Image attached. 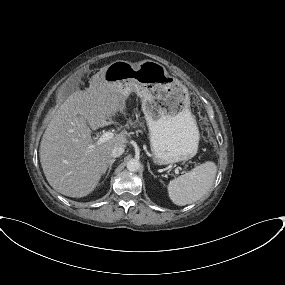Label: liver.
Here are the masks:
<instances>
[{"mask_svg":"<svg viewBox=\"0 0 285 285\" xmlns=\"http://www.w3.org/2000/svg\"><path fill=\"white\" fill-rule=\"evenodd\" d=\"M104 66L86 90H77L57 109L40 143V162L50 186L73 198L91 194L112 160L114 147H125L126 134L92 144L91 129L126 108L128 92L105 81Z\"/></svg>","mask_w":285,"mask_h":285,"instance_id":"obj_1","label":"liver"}]
</instances>
